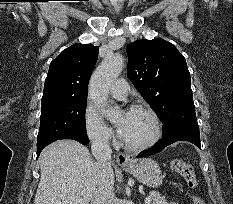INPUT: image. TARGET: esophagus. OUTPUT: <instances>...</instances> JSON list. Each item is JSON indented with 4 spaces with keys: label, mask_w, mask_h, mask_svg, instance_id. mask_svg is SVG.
I'll list each match as a JSON object with an SVG mask.
<instances>
[{
    "label": "esophagus",
    "mask_w": 233,
    "mask_h": 204,
    "mask_svg": "<svg viewBox=\"0 0 233 204\" xmlns=\"http://www.w3.org/2000/svg\"><path fill=\"white\" fill-rule=\"evenodd\" d=\"M116 161L118 165L125 167L129 166L133 163V157L131 155L125 154V153H120L116 157Z\"/></svg>",
    "instance_id": "34e87169"
}]
</instances>
